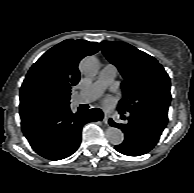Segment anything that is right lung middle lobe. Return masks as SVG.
<instances>
[{"instance_id": "obj_1", "label": "right lung middle lobe", "mask_w": 194, "mask_h": 193, "mask_svg": "<svg viewBox=\"0 0 194 193\" xmlns=\"http://www.w3.org/2000/svg\"><path fill=\"white\" fill-rule=\"evenodd\" d=\"M69 104V100L59 104V105H55V104H43L41 105V109L42 110H51V109H55V108H59V107H62V106H65V105H68ZM25 114H28L27 110H25L24 112Z\"/></svg>"}]
</instances>
